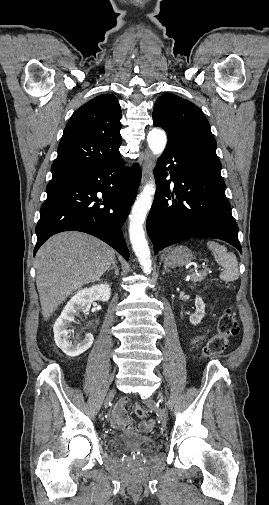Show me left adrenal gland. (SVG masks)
<instances>
[{
	"instance_id": "1",
	"label": "left adrenal gland",
	"mask_w": 269,
	"mask_h": 505,
	"mask_svg": "<svg viewBox=\"0 0 269 505\" xmlns=\"http://www.w3.org/2000/svg\"><path fill=\"white\" fill-rule=\"evenodd\" d=\"M170 271H171V270H169V269L167 268V266H164L163 275H165V273H166V272H170Z\"/></svg>"
}]
</instances>
